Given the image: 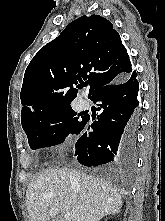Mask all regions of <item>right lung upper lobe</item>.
Returning a JSON list of instances; mask_svg holds the SVG:
<instances>
[{"instance_id": "obj_1", "label": "right lung upper lobe", "mask_w": 165, "mask_h": 221, "mask_svg": "<svg viewBox=\"0 0 165 221\" xmlns=\"http://www.w3.org/2000/svg\"><path fill=\"white\" fill-rule=\"evenodd\" d=\"M133 73L111 22L99 15H84L41 48L28 65L21 89V123L71 106L82 79L90 87L91 98L98 89Z\"/></svg>"}]
</instances>
